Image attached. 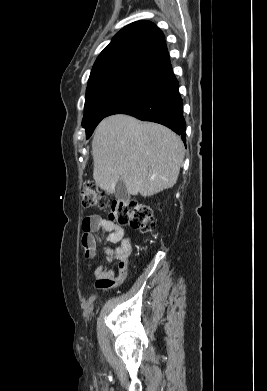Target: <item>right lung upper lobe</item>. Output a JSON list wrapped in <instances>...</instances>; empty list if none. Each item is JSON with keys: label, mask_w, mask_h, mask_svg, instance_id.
<instances>
[{"label": "right lung upper lobe", "mask_w": 267, "mask_h": 391, "mask_svg": "<svg viewBox=\"0 0 267 391\" xmlns=\"http://www.w3.org/2000/svg\"><path fill=\"white\" fill-rule=\"evenodd\" d=\"M170 65L162 31L150 21H137L113 37L96 59L89 81L119 72L153 76Z\"/></svg>", "instance_id": "1"}]
</instances>
